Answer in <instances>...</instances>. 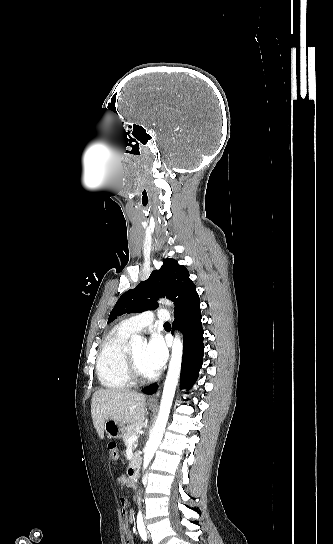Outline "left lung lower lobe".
Returning <instances> with one entry per match:
<instances>
[{"label":"left lung lower lobe","instance_id":"0a47b994","mask_svg":"<svg viewBox=\"0 0 333 544\" xmlns=\"http://www.w3.org/2000/svg\"><path fill=\"white\" fill-rule=\"evenodd\" d=\"M200 301H196L185 307H180L175 313L172 333L174 328L181 329L183 333V356L181 365V389H191L196 382L199 370L203 364L204 344L201 322ZM157 385L146 387L143 392L152 394L156 391Z\"/></svg>","mask_w":333,"mask_h":544}]
</instances>
